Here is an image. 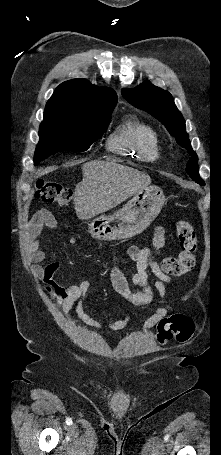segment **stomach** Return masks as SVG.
Wrapping results in <instances>:
<instances>
[{
  "instance_id": "obj_1",
  "label": "stomach",
  "mask_w": 221,
  "mask_h": 455,
  "mask_svg": "<svg viewBox=\"0 0 221 455\" xmlns=\"http://www.w3.org/2000/svg\"><path fill=\"white\" fill-rule=\"evenodd\" d=\"M165 196L161 188L146 186L112 215H100L88 223V232L97 240L131 238L143 232L158 216Z\"/></svg>"
}]
</instances>
